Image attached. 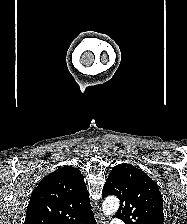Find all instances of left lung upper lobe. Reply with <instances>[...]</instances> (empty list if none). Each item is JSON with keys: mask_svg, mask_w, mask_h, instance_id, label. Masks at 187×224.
I'll list each match as a JSON object with an SVG mask.
<instances>
[{"mask_svg": "<svg viewBox=\"0 0 187 224\" xmlns=\"http://www.w3.org/2000/svg\"><path fill=\"white\" fill-rule=\"evenodd\" d=\"M115 195L120 208L115 214L125 224H163V198L157 184L131 164H119L111 170L102 198Z\"/></svg>", "mask_w": 187, "mask_h": 224, "instance_id": "1", "label": "left lung upper lobe"}]
</instances>
